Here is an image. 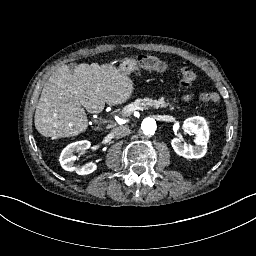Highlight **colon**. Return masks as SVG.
I'll return each instance as SVG.
<instances>
[{
    "mask_svg": "<svg viewBox=\"0 0 256 256\" xmlns=\"http://www.w3.org/2000/svg\"><path fill=\"white\" fill-rule=\"evenodd\" d=\"M137 62V68L151 71L154 73L162 72L166 69V64L158 58L151 55H141L134 58ZM180 83L185 87L194 84L198 78L197 72L190 67H183L179 71ZM201 100L206 104H214L218 101L217 93L210 87L201 91Z\"/></svg>",
    "mask_w": 256,
    "mask_h": 256,
    "instance_id": "5ec220e1",
    "label": "colon"
}]
</instances>
